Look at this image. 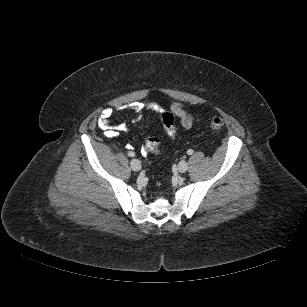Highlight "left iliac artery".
Instances as JSON below:
<instances>
[{"instance_id": "44dca946", "label": "left iliac artery", "mask_w": 307, "mask_h": 307, "mask_svg": "<svg viewBox=\"0 0 307 307\" xmlns=\"http://www.w3.org/2000/svg\"><path fill=\"white\" fill-rule=\"evenodd\" d=\"M193 152H194V151H193L192 149H189V150L187 151V154H188V155H191V154H193Z\"/></svg>"}]
</instances>
